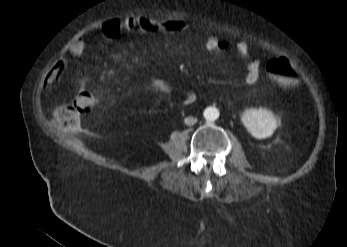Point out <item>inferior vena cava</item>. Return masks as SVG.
<instances>
[{
  "label": "inferior vena cava",
  "mask_w": 347,
  "mask_h": 247,
  "mask_svg": "<svg viewBox=\"0 0 347 247\" xmlns=\"http://www.w3.org/2000/svg\"><path fill=\"white\" fill-rule=\"evenodd\" d=\"M197 122V119L196 118H194V117H186L185 119H184V123L186 124V125H194L195 123Z\"/></svg>",
  "instance_id": "obj_1"
}]
</instances>
